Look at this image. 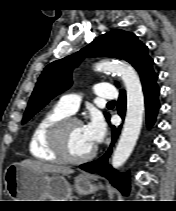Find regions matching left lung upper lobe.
<instances>
[{"label":"left lung upper lobe","mask_w":176,"mask_h":211,"mask_svg":"<svg viewBox=\"0 0 176 211\" xmlns=\"http://www.w3.org/2000/svg\"><path fill=\"white\" fill-rule=\"evenodd\" d=\"M86 56H109L124 59L138 71L142 82L157 75L152 68L153 60L147 53V46L133 33L113 30L100 35L79 52L54 61L44 69L29 100L23 123L32 118L52 98L71 86L72 70ZM105 116L109 118L107 113Z\"/></svg>","instance_id":"left-lung-upper-lobe-1"}]
</instances>
